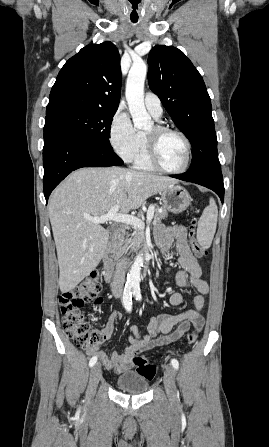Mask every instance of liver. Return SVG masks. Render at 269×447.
<instances>
[{
  "label": "liver",
  "instance_id": "obj_1",
  "mask_svg": "<svg viewBox=\"0 0 269 447\" xmlns=\"http://www.w3.org/2000/svg\"><path fill=\"white\" fill-rule=\"evenodd\" d=\"M173 184L169 178L124 168H81L54 190L49 218L59 263V287L74 289L101 261L109 231L84 216L99 218L119 206L121 214Z\"/></svg>",
  "mask_w": 269,
  "mask_h": 447
}]
</instances>
